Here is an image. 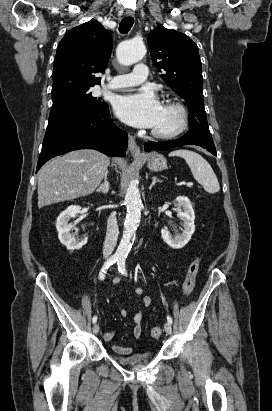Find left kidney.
I'll return each instance as SVG.
<instances>
[{"mask_svg":"<svg viewBox=\"0 0 272 411\" xmlns=\"http://www.w3.org/2000/svg\"><path fill=\"white\" fill-rule=\"evenodd\" d=\"M174 204L177 206L179 218L184 223V230L181 234L172 236L167 229H162L161 236L167 245L174 249H180L190 241L195 231V213L190 200L185 196H178Z\"/></svg>","mask_w":272,"mask_h":411,"instance_id":"left-kidney-1","label":"left kidney"}]
</instances>
